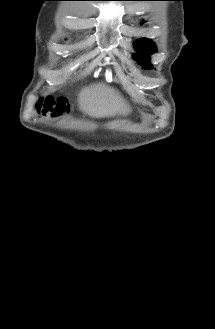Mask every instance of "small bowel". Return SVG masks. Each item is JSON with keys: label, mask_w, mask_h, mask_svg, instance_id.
<instances>
[{"label": "small bowel", "mask_w": 215, "mask_h": 329, "mask_svg": "<svg viewBox=\"0 0 215 329\" xmlns=\"http://www.w3.org/2000/svg\"><path fill=\"white\" fill-rule=\"evenodd\" d=\"M66 104V107H67V103ZM42 107V106H41ZM39 109V107L37 108V110ZM44 117H51V118H58L60 117L61 114H42Z\"/></svg>", "instance_id": "small-bowel-1"}]
</instances>
